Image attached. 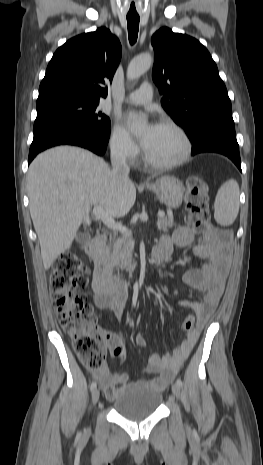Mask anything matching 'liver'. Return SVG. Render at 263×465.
<instances>
[{
  "instance_id": "1",
  "label": "liver",
  "mask_w": 263,
  "mask_h": 465,
  "mask_svg": "<svg viewBox=\"0 0 263 465\" xmlns=\"http://www.w3.org/2000/svg\"><path fill=\"white\" fill-rule=\"evenodd\" d=\"M30 214L44 268L68 250L90 206L113 217L126 215L136 200L134 183L117 180L107 163L79 147L59 146L38 155L27 174Z\"/></svg>"
}]
</instances>
